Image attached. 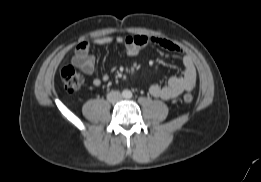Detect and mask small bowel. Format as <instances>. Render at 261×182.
<instances>
[{
  "label": "small bowel",
  "mask_w": 261,
  "mask_h": 182,
  "mask_svg": "<svg viewBox=\"0 0 261 182\" xmlns=\"http://www.w3.org/2000/svg\"><path fill=\"white\" fill-rule=\"evenodd\" d=\"M112 43L123 45L127 55L129 56H136L142 49L151 45H155L170 53L178 54L182 57V74L179 76H171L165 84L155 83L151 85L149 92L153 97L170 100L179 96L184 91L193 90L195 87L197 72L191 55L185 52L175 42L160 37L134 35L113 38L111 36H104L96 38L92 43L83 41L79 43L75 49V54L72 58V64L86 75L93 74L96 61L95 57L90 53V51L97 46H105ZM108 80L109 75L104 74L102 76L95 77L92 83L94 86L98 87Z\"/></svg>",
  "instance_id": "small-bowel-1"
}]
</instances>
